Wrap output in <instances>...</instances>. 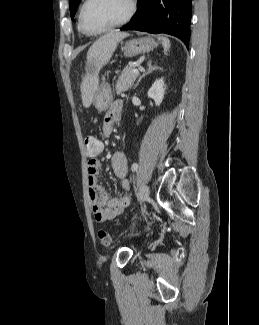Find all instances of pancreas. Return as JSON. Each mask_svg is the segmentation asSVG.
I'll use <instances>...</instances> for the list:
<instances>
[{
    "mask_svg": "<svg viewBox=\"0 0 259 325\" xmlns=\"http://www.w3.org/2000/svg\"><path fill=\"white\" fill-rule=\"evenodd\" d=\"M137 77L138 74L133 73V66H126L117 80L115 86L116 93L120 94L131 89Z\"/></svg>",
    "mask_w": 259,
    "mask_h": 325,
    "instance_id": "pancreas-1",
    "label": "pancreas"
}]
</instances>
